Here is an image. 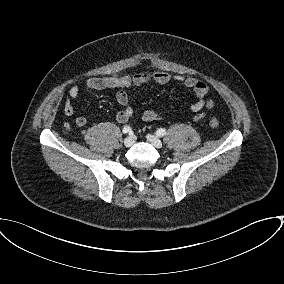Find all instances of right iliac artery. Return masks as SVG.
<instances>
[{"label":"right iliac artery","mask_w":284,"mask_h":284,"mask_svg":"<svg viewBox=\"0 0 284 284\" xmlns=\"http://www.w3.org/2000/svg\"><path fill=\"white\" fill-rule=\"evenodd\" d=\"M122 131H123V133L127 134V133L131 132V128L129 126H124Z\"/></svg>","instance_id":"obj_1"}]
</instances>
